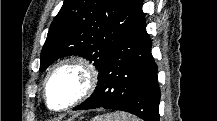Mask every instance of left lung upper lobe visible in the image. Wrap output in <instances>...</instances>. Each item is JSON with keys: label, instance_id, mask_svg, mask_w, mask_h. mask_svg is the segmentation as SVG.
<instances>
[{"label": "left lung upper lobe", "instance_id": "left-lung-upper-lobe-1", "mask_svg": "<svg viewBox=\"0 0 217 121\" xmlns=\"http://www.w3.org/2000/svg\"><path fill=\"white\" fill-rule=\"evenodd\" d=\"M142 0H65L48 31L40 70L79 55L100 70L135 19Z\"/></svg>", "mask_w": 217, "mask_h": 121}]
</instances>
